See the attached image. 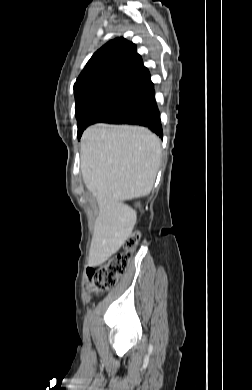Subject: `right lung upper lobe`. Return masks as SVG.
I'll return each mask as SVG.
<instances>
[{
  "label": "right lung upper lobe",
  "mask_w": 252,
  "mask_h": 390,
  "mask_svg": "<svg viewBox=\"0 0 252 390\" xmlns=\"http://www.w3.org/2000/svg\"><path fill=\"white\" fill-rule=\"evenodd\" d=\"M154 91L136 45L123 37L97 50L74 84L75 109L99 99L139 101Z\"/></svg>",
  "instance_id": "obj_1"
}]
</instances>
